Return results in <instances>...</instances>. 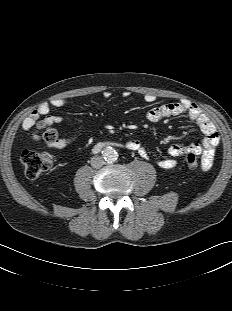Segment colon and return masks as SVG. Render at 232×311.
<instances>
[{"mask_svg":"<svg viewBox=\"0 0 232 311\" xmlns=\"http://www.w3.org/2000/svg\"><path fill=\"white\" fill-rule=\"evenodd\" d=\"M43 138L47 142H52L56 139V133L52 129H47L43 132ZM21 161L26 177L30 180H35L52 168L55 156L50 152L25 150L22 153ZM186 165L193 170L199 167L198 157L195 153L187 154Z\"/></svg>","mask_w":232,"mask_h":311,"instance_id":"1","label":"colon"}]
</instances>
